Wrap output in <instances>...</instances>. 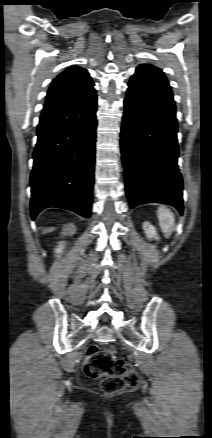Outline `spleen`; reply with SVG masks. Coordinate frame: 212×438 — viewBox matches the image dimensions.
Returning <instances> with one entry per match:
<instances>
[{
    "instance_id": "3e777b00",
    "label": "spleen",
    "mask_w": 212,
    "mask_h": 438,
    "mask_svg": "<svg viewBox=\"0 0 212 438\" xmlns=\"http://www.w3.org/2000/svg\"><path fill=\"white\" fill-rule=\"evenodd\" d=\"M157 216L164 236L169 238L175 229L174 214L165 206H161L157 210Z\"/></svg>"
}]
</instances>
